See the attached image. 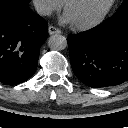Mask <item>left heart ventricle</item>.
I'll return each mask as SVG.
<instances>
[{
	"instance_id": "left-heart-ventricle-1",
	"label": "left heart ventricle",
	"mask_w": 128,
	"mask_h": 128,
	"mask_svg": "<svg viewBox=\"0 0 128 128\" xmlns=\"http://www.w3.org/2000/svg\"><path fill=\"white\" fill-rule=\"evenodd\" d=\"M109 0H76L67 10L73 23H84L95 18Z\"/></svg>"
}]
</instances>
